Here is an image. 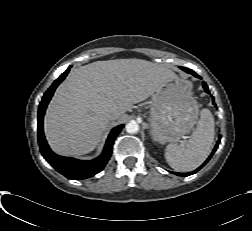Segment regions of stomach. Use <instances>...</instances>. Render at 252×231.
<instances>
[{
	"label": "stomach",
	"mask_w": 252,
	"mask_h": 231,
	"mask_svg": "<svg viewBox=\"0 0 252 231\" xmlns=\"http://www.w3.org/2000/svg\"><path fill=\"white\" fill-rule=\"evenodd\" d=\"M198 113L192 83L175 75L152 96L149 122L153 139L162 144L179 141L194 127Z\"/></svg>",
	"instance_id": "1"
}]
</instances>
